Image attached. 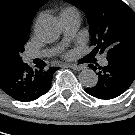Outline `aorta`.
<instances>
[{
  "label": "aorta",
  "instance_id": "obj_1",
  "mask_svg": "<svg viewBox=\"0 0 135 135\" xmlns=\"http://www.w3.org/2000/svg\"><path fill=\"white\" fill-rule=\"evenodd\" d=\"M37 37L44 42H54L60 37L61 25L52 16L39 18L34 27ZM79 81L85 87H93L98 82V76L91 69H84L79 74Z\"/></svg>",
  "mask_w": 135,
  "mask_h": 135
}]
</instances>
